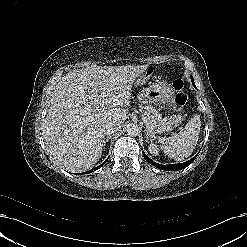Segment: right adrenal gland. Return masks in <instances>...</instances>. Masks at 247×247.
Here are the masks:
<instances>
[{"label": "right adrenal gland", "instance_id": "obj_1", "mask_svg": "<svg viewBox=\"0 0 247 247\" xmlns=\"http://www.w3.org/2000/svg\"><path fill=\"white\" fill-rule=\"evenodd\" d=\"M111 138H112V135L111 136H108L106 139L103 140V147H105L106 142H108L109 139H111Z\"/></svg>", "mask_w": 247, "mask_h": 247}]
</instances>
